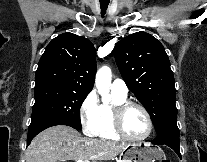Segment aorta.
Returning a JSON list of instances; mask_svg holds the SVG:
<instances>
[{
    "mask_svg": "<svg viewBox=\"0 0 207 162\" xmlns=\"http://www.w3.org/2000/svg\"><path fill=\"white\" fill-rule=\"evenodd\" d=\"M112 72L107 66L101 67L96 74L95 84L99 94L101 95L102 102L107 104L111 100L110 85H111Z\"/></svg>",
    "mask_w": 207,
    "mask_h": 162,
    "instance_id": "obj_1",
    "label": "aorta"
}]
</instances>
